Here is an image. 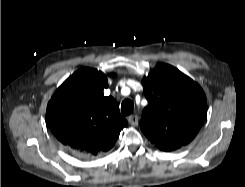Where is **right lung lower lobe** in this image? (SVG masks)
Wrapping results in <instances>:
<instances>
[{
    "instance_id": "98d812e1",
    "label": "right lung lower lobe",
    "mask_w": 245,
    "mask_h": 187,
    "mask_svg": "<svg viewBox=\"0 0 245 187\" xmlns=\"http://www.w3.org/2000/svg\"><path fill=\"white\" fill-rule=\"evenodd\" d=\"M71 152L74 153L77 156L84 157V158H89L87 155H85L83 153L75 152V151H72V150H71Z\"/></svg>"
}]
</instances>
